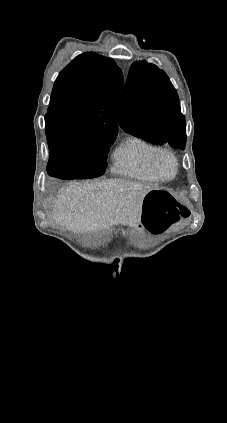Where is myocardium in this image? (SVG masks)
I'll list each match as a JSON object with an SVG mask.
<instances>
[{"label": "myocardium", "instance_id": "myocardium-1", "mask_svg": "<svg viewBox=\"0 0 227 423\" xmlns=\"http://www.w3.org/2000/svg\"><path fill=\"white\" fill-rule=\"evenodd\" d=\"M159 153L168 154L173 161L174 173L170 178L163 176V174L161 173V171L158 168L157 156H158ZM149 161H150V166H151L152 170L154 171V173L163 181H170V180L174 179L176 177V175L178 174V170H179L178 157H177L176 153L174 152V150H172L168 147H155L150 154V160Z\"/></svg>", "mask_w": 227, "mask_h": 423}]
</instances>
